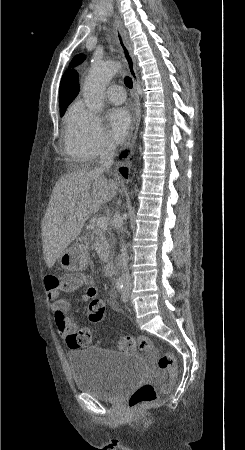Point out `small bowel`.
Wrapping results in <instances>:
<instances>
[{
	"label": "small bowel",
	"instance_id": "small-bowel-1",
	"mask_svg": "<svg viewBox=\"0 0 245 450\" xmlns=\"http://www.w3.org/2000/svg\"><path fill=\"white\" fill-rule=\"evenodd\" d=\"M83 286L84 292L81 298L84 302H89L97 296V288L89 284L87 280L70 290H76ZM47 299L50 304L51 317L59 335L66 340L70 347L75 348L76 346L73 345L69 336L77 331L78 326L70 316V303L67 300L60 298L59 291L57 290L47 291ZM111 306L113 307V304ZM97 343L101 344V341L98 340Z\"/></svg>",
	"mask_w": 245,
	"mask_h": 450
}]
</instances>
